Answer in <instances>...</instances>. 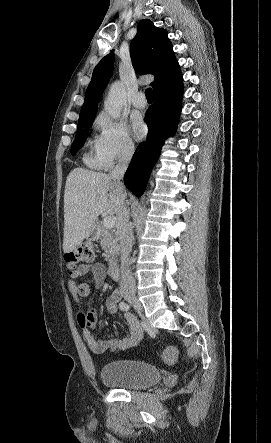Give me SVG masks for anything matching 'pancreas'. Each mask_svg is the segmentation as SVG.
Instances as JSON below:
<instances>
[{
	"label": "pancreas",
	"instance_id": "obj_1",
	"mask_svg": "<svg viewBox=\"0 0 271 443\" xmlns=\"http://www.w3.org/2000/svg\"><path fill=\"white\" fill-rule=\"evenodd\" d=\"M100 243L107 253V257H116L119 251L117 233L100 225Z\"/></svg>",
	"mask_w": 271,
	"mask_h": 443
}]
</instances>
